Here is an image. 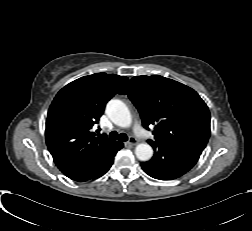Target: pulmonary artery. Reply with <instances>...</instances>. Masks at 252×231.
<instances>
[{
    "label": "pulmonary artery",
    "instance_id": "pulmonary-artery-1",
    "mask_svg": "<svg viewBox=\"0 0 252 231\" xmlns=\"http://www.w3.org/2000/svg\"><path fill=\"white\" fill-rule=\"evenodd\" d=\"M133 130L138 137L142 139H147L148 134L140 124L138 123L134 124Z\"/></svg>",
    "mask_w": 252,
    "mask_h": 231
}]
</instances>
